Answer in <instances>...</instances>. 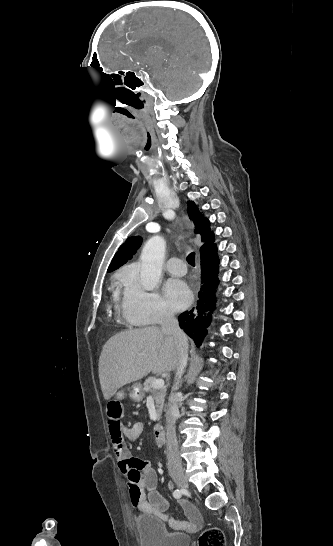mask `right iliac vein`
<instances>
[{
  "instance_id": "1",
  "label": "right iliac vein",
  "mask_w": 333,
  "mask_h": 546,
  "mask_svg": "<svg viewBox=\"0 0 333 546\" xmlns=\"http://www.w3.org/2000/svg\"><path fill=\"white\" fill-rule=\"evenodd\" d=\"M171 477L180 488H188V482L184 473L180 470H174L171 472Z\"/></svg>"
}]
</instances>
